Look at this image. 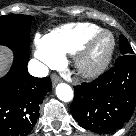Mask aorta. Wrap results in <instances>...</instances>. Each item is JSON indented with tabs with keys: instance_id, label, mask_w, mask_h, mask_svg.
Masks as SVG:
<instances>
[{
	"instance_id": "obj_1",
	"label": "aorta",
	"mask_w": 136,
	"mask_h": 136,
	"mask_svg": "<svg viewBox=\"0 0 136 136\" xmlns=\"http://www.w3.org/2000/svg\"><path fill=\"white\" fill-rule=\"evenodd\" d=\"M56 95L63 102H69L73 99V90L66 83H60L56 87Z\"/></svg>"
}]
</instances>
